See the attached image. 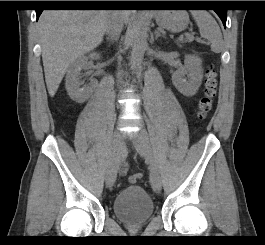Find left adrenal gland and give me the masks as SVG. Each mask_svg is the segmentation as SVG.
Listing matches in <instances>:
<instances>
[{
  "instance_id": "1",
  "label": "left adrenal gland",
  "mask_w": 265,
  "mask_h": 245,
  "mask_svg": "<svg viewBox=\"0 0 265 245\" xmlns=\"http://www.w3.org/2000/svg\"><path fill=\"white\" fill-rule=\"evenodd\" d=\"M161 36L159 30L155 31V39H158Z\"/></svg>"
}]
</instances>
